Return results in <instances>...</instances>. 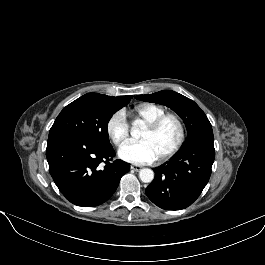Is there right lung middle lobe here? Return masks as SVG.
<instances>
[{
	"mask_svg": "<svg viewBox=\"0 0 265 265\" xmlns=\"http://www.w3.org/2000/svg\"><path fill=\"white\" fill-rule=\"evenodd\" d=\"M127 104L108 106L80 97L60 112L50 129L49 135L72 132L102 144H110L108 122L114 113Z\"/></svg>",
	"mask_w": 265,
	"mask_h": 265,
	"instance_id": "right-lung-middle-lobe-1",
	"label": "right lung middle lobe"
}]
</instances>
